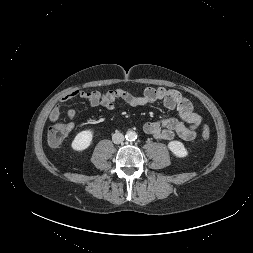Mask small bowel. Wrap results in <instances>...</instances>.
I'll list each match as a JSON object with an SVG mask.
<instances>
[{"mask_svg": "<svg viewBox=\"0 0 253 253\" xmlns=\"http://www.w3.org/2000/svg\"><path fill=\"white\" fill-rule=\"evenodd\" d=\"M74 98L85 99L90 106L103 107L109 111L114 109L117 100L133 107L162 102L167 109L177 111L180 120L168 117L160 121H149L143 125V131L163 140L181 139L191 141L196 137L197 129L202 121L201 116L194 112L192 103L181 92L164 87H147L142 94H132L123 89H113L106 92L76 89L64 95L59 103L53 107L50 120L52 122L58 121L65 103ZM75 114L73 108L67 111L70 120L75 117ZM69 124L73 127L72 122Z\"/></svg>", "mask_w": 253, "mask_h": 253, "instance_id": "small-bowel-1", "label": "small bowel"}]
</instances>
